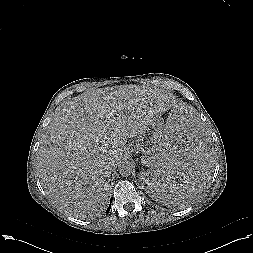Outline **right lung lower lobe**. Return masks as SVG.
I'll list each match as a JSON object with an SVG mask.
<instances>
[{
  "instance_id": "obj_1",
  "label": "right lung lower lobe",
  "mask_w": 253,
  "mask_h": 253,
  "mask_svg": "<svg viewBox=\"0 0 253 253\" xmlns=\"http://www.w3.org/2000/svg\"><path fill=\"white\" fill-rule=\"evenodd\" d=\"M111 208V204L109 205L108 209L106 210V213H108L110 211Z\"/></svg>"
}]
</instances>
